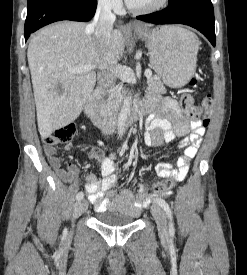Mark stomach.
I'll return each mask as SVG.
<instances>
[{"mask_svg":"<svg viewBox=\"0 0 247 275\" xmlns=\"http://www.w3.org/2000/svg\"><path fill=\"white\" fill-rule=\"evenodd\" d=\"M135 31L146 41L151 66L163 82L171 88L184 86L196 69L197 37L179 26L137 28Z\"/></svg>","mask_w":247,"mask_h":275,"instance_id":"stomach-1","label":"stomach"}]
</instances>
